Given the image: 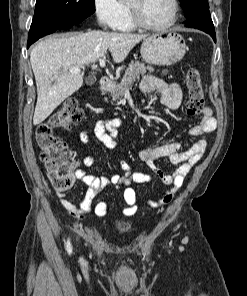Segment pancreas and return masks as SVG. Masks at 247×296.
Instances as JSON below:
<instances>
[{
    "mask_svg": "<svg viewBox=\"0 0 247 296\" xmlns=\"http://www.w3.org/2000/svg\"><path fill=\"white\" fill-rule=\"evenodd\" d=\"M147 71L152 73L154 72V68L146 66L144 63L139 61L129 63V67L126 69L121 82L114 84V88L112 90L113 101L123 97L127 88L130 87L134 81L139 80L141 75H145ZM162 74L166 75L167 71H163Z\"/></svg>",
    "mask_w": 247,
    "mask_h": 296,
    "instance_id": "pancreas-1",
    "label": "pancreas"
}]
</instances>
